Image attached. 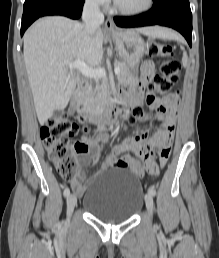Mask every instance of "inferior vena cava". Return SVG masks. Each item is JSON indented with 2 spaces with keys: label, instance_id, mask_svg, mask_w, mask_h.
<instances>
[{
  "label": "inferior vena cava",
  "instance_id": "1",
  "mask_svg": "<svg viewBox=\"0 0 219 258\" xmlns=\"http://www.w3.org/2000/svg\"><path fill=\"white\" fill-rule=\"evenodd\" d=\"M82 19L87 34L93 35L104 22V15L100 11L97 0H86L83 8Z\"/></svg>",
  "mask_w": 219,
  "mask_h": 258
}]
</instances>
